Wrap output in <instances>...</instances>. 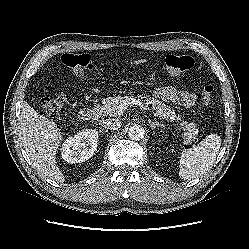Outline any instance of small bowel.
<instances>
[{"mask_svg":"<svg viewBox=\"0 0 249 249\" xmlns=\"http://www.w3.org/2000/svg\"><path fill=\"white\" fill-rule=\"evenodd\" d=\"M155 96L163 101L191 107L196 102L194 93L179 89L175 86H164L155 90Z\"/></svg>","mask_w":249,"mask_h":249,"instance_id":"1","label":"small bowel"}]
</instances>
